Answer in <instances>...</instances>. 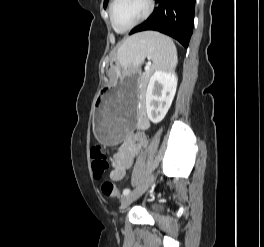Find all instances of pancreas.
<instances>
[{
    "mask_svg": "<svg viewBox=\"0 0 264 247\" xmlns=\"http://www.w3.org/2000/svg\"><path fill=\"white\" fill-rule=\"evenodd\" d=\"M143 78H144V80L146 81V80L148 79V75H147V74L144 75Z\"/></svg>",
    "mask_w": 264,
    "mask_h": 247,
    "instance_id": "1",
    "label": "pancreas"
}]
</instances>
